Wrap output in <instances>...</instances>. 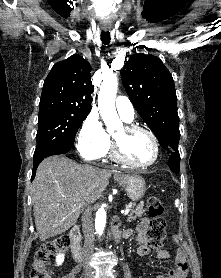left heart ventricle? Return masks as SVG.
Here are the masks:
<instances>
[{
    "mask_svg": "<svg viewBox=\"0 0 221 278\" xmlns=\"http://www.w3.org/2000/svg\"><path fill=\"white\" fill-rule=\"evenodd\" d=\"M114 138L124 155L133 163L147 164L154 158V146L148 134L138 131L127 133L124 128L115 133Z\"/></svg>",
    "mask_w": 221,
    "mask_h": 278,
    "instance_id": "1",
    "label": "left heart ventricle"
}]
</instances>
